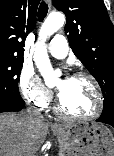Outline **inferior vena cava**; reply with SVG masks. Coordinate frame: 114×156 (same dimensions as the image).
Here are the masks:
<instances>
[{"instance_id": "inferior-vena-cava-1", "label": "inferior vena cava", "mask_w": 114, "mask_h": 156, "mask_svg": "<svg viewBox=\"0 0 114 156\" xmlns=\"http://www.w3.org/2000/svg\"><path fill=\"white\" fill-rule=\"evenodd\" d=\"M26 111H27V115L30 118H33V119H42L43 118L41 111L39 109H36L34 107H28Z\"/></svg>"}]
</instances>
